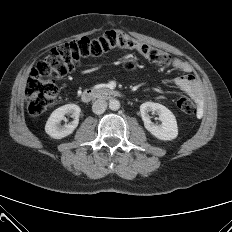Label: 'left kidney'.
I'll return each instance as SVG.
<instances>
[{
	"label": "left kidney",
	"instance_id": "obj_1",
	"mask_svg": "<svg viewBox=\"0 0 232 232\" xmlns=\"http://www.w3.org/2000/svg\"><path fill=\"white\" fill-rule=\"evenodd\" d=\"M140 112L145 128L153 136L164 141L173 140L177 137V121L174 114L168 108L159 103L145 102L141 104ZM149 112H156L159 115L160 125L154 124L150 120Z\"/></svg>",
	"mask_w": 232,
	"mask_h": 232
}]
</instances>
